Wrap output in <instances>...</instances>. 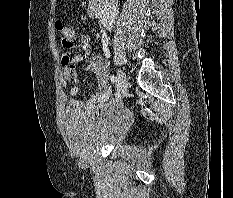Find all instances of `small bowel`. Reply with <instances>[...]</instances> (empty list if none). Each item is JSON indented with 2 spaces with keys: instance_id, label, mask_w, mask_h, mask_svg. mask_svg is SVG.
<instances>
[{
  "instance_id": "1",
  "label": "small bowel",
  "mask_w": 233,
  "mask_h": 198,
  "mask_svg": "<svg viewBox=\"0 0 233 198\" xmlns=\"http://www.w3.org/2000/svg\"><path fill=\"white\" fill-rule=\"evenodd\" d=\"M74 46L79 47L81 51L70 55L68 50L72 47L66 48L63 46L64 51L61 55L65 78L74 83V86L70 89V95L72 97L76 96L79 92V78L75 65L89 57L91 53L90 37L88 35H81L76 38ZM85 70L96 75L98 80L97 91L85 102L72 98L69 101V107L72 110H91L96 105L109 100L112 95V90L107 80L106 64L102 56L94 55L91 57Z\"/></svg>"
}]
</instances>
